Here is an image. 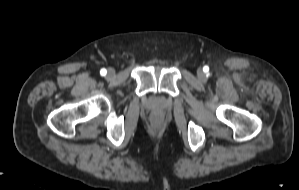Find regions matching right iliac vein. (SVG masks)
<instances>
[{"label":"right iliac vein","mask_w":299,"mask_h":190,"mask_svg":"<svg viewBox=\"0 0 299 190\" xmlns=\"http://www.w3.org/2000/svg\"><path fill=\"white\" fill-rule=\"evenodd\" d=\"M114 74H115V71H114L112 68H110V69L108 70V76H109V77H113Z\"/></svg>","instance_id":"63e3f726"}]
</instances>
